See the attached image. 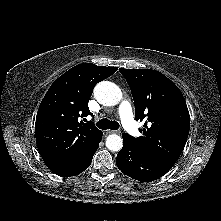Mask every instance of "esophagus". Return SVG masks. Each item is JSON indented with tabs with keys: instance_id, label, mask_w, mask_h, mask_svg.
I'll return each instance as SVG.
<instances>
[{
	"instance_id": "1",
	"label": "esophagus",
	"mask_w": 221,
	"mask_h": 221,
	"mask_svg": "<svg viewBox=\"0 0 221 221\" xmlns=\"http://www.w3.org/2000/svg\"><path fill=\"white\" fill-rule=\"evenodd\" d=\"M106 134H114V133H120V131H113V130H106Z\"/></svg>"
}]
</instances>
